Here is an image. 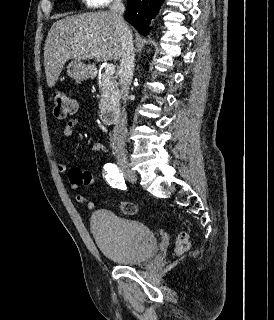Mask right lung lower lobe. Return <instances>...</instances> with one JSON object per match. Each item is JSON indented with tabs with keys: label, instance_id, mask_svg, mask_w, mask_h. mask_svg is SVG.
I'll use <instances>...</instances> for the list:
<instances>
[{
	"label": "right lung lower lobe",
	"instance_id": "obj_1",
	"mask_svg": "<svg viewBox=\"0 0 274 320\" xmlns=\"http://www.w3.org/2000/svg\"><path fill=\"white\" fill-rule=\"evenodd\" d=\"M164 0H128L125 20L133 25L140 34L148 33V26Z\"/></svg>",
	"mask_w": 274,
	"mask_h": 320
}]
</instances>
